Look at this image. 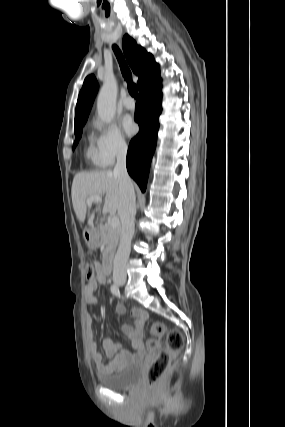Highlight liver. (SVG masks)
I'll use <instances>...</instances> for the list:
<instances>
[{
  "instance_id": "obj_1",
  "label": "liver",
  "mask_w": 285,
  "mask_h": 427,
  "mask_svg": "<svg viewBox=\"0 0 285 427\" xmlns=\"http://www.w3.org/2000/svg\"><path fill=\"white\" fill-rule=\"evenodd\" d=\"M90 196L103 197L104 213H116L120 200V189L118 176L111 170L99 172H81L74 176L71 197L75 214L79 221L83 223L87 214V199ZM100 209L99 206L91 213L88 218V225L93 226L95 211Z\"/></svg>"
}]
</instances>
